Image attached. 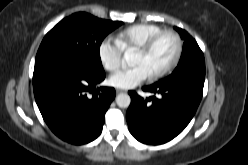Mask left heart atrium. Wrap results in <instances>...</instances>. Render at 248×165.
Masks as SVG:
<instances>
[{"label": "left heart atrium", "mask_w": 248, "mask_h": 165, "mask_svg": "<svg viewBox=\"0 0 248 165\" xmlns=\"http://www.w3.org/2000/svg\"><path fill=\"white\" fill-rule=\"evenodd\" d=\"M151 77L149 71L143 65H136L116 71L109 78V83L117 88H133Z\"/></svg>", "instance_id": "obj_1"}]
</instances>
